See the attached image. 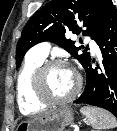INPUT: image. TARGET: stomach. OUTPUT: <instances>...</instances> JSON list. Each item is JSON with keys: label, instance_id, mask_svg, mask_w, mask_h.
I'll return each instance as SVG.
<instances>
[{"label": "stomach", "instance_id": "stomach-1", "mask_svg": "<svg viewBox=\"0 0 117 131\" xmlns=\"http://www.w3.org/2000/svg\"><path fill=\"white\" fill-rule=\"evenodd\" d=\"M73 120L72 109L64 106L39 118L20 122L16 131H64Z\"/></svg>", "mask_w": 117, "mask_h": 131}]
</instances>
